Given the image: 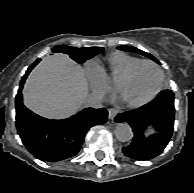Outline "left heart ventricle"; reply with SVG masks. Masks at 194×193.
I'll list each match as a JSON object with an SVG mask.
<instances>
[{"instance_id":"left-heart-ventricle-1","label":"left heart ventricle","mask_w":194,"mask_h":193,"mask_svg":"<svg viewBox=\"0 0 194 193\" xmlns=\"http://www.w3.org/2000/svg\"><path fill=\"white\" fill-rule=\"evenodd\" d=\"M159 73L149 64L140 66L122 86L120 98L129 102H139L148 98L156 89Z\"/></svg>"}]
</instances>
